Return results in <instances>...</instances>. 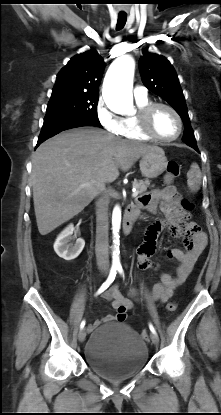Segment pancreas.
<instances>
[{"mask_svg": "<svg viewBox=\"0 0 221 415\" xmlns=\"http://www.w3.org/2000/svg\"><path fill=\"white\" fill-rule=\"evenodd\" d=\"M132 185L136 189L138 194H141L147 190L148 186L150 185V181L149 180H144V181L134 180Z\"/></svg>", "mask_w": 221, "mask_h": 415, "instance_id": "pancreas-1", "label": "pancreas"}]
</instances>
